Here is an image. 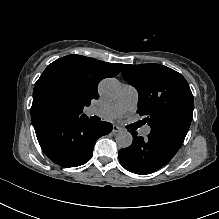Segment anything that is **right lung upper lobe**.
Returning a JSON list of instances; mask_svg holds the SVG:
<instances>
[{
  "label": "right lung upper lobe",
  "instance_id": "right-lung-upper-lobe-1",
  "mask_svg": "<svg viewBox=\"0 0 219 219\" xmlns=\"http://www.w3.org/2000/svg\"><path fill=\"white\" fill-rule=\"evenodd\" d=\"M123 64L107 63L81 55H68L52 62L37 80L33 90L31 117L52 116L46 101L52 94L65 101L64 116H81L92 99H98L97 86L108 77L116 76ZM86 116V115H84Z\"/></svg>",
  "mask_w": 219,
  "mask_h": 219
}]
</instances>
